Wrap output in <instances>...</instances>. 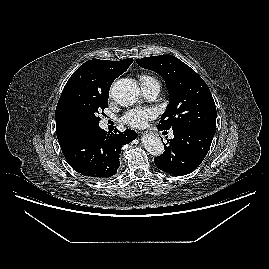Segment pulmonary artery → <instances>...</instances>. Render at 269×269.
<instances>
[{"label":"pulmonary artery","mask_w":269,"mask_h":269,"mask_svg":"<svg viewBox=\"0 0 269 269\" xmlns=\"http://www.w3.org/2000/svg\"><path fill=\"white\" fill-rule=\"evenodd\" d=\"M160 89V83L153 78L141 80L142 94L148 99L156 98L160 93ZM172 136L173 134H170V137Z\"/></svg>","instance_id":"pulmonary-artery-1"}]
</instances>
